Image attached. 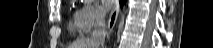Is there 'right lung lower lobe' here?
I'll return each instance as SVG.
<instances>
[{
    "label": "right lung lower lobe",
    "instance_id": "right-lung-lower-lobe-1",
    "mask_svg": "<svg viewBox=\"0 0 213 48\" xmlns=\"http://www.w3.org/2000/svg\"><path fill=\"white\" fill-rule=\"evenodd\" d=\"M125 2V0H121L120 1V4H121V6H123V3Z\"/></svg>",
    "mask_w": 213,
    "mask_h": 48
}]
</instances>
